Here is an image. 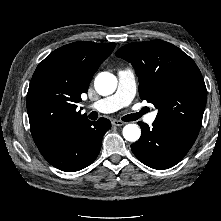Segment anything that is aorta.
<instances>
[{
    "instance_id": "aorta-1",
    "label": "aorta",
    "mask_w": 221,
    "mask_h": 221,
    "mask_svg": "<svg viewBox=\"0 0 221 221\" xmlns=\"http://www.w3.org/2000/svg\"><path fill=\"white\" fill-rule=\"evenodd\" d=\"M94 86L100 95H110L116 90L117 78L109 72H101L95 78ZM122 132L129 142H136L141 136V129L136 124L125 125Z\"/></svg>"
}]
</instances>
